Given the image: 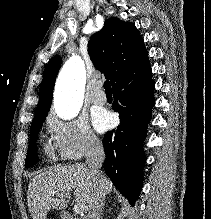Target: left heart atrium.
<instances>
[{
  "instance_id": "obj_1",
  "label": "left heart atrium",
  "mask_w": 211,
  "mask_h": 219,
  "mask_svg": "<svg viewBox=\"0 0 211 219\" xmlns=\"http://www.w3.org/2000/svg\"><path fill=\"white\" fill-rule=\"evenodd\" d=\"M93 124L96 130L104 131L112 125V117L105 111H99L93 117Z\"/></svg>"
}]
</instances>
